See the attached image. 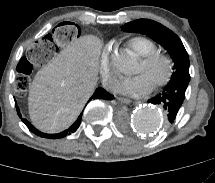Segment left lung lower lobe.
Listing matches in <instances>:
<instances>
[{
  "label": "left lung lower lobe",
  "mask_w": 215,
  "mask_h": 183,
  "mask_svg": "<svg viewBox=\"0 0 215 183\" xmlns=\"http://www.w3.org/2000/svg\"><path fill=\"white\" fill-rule=\"evenodd\" d=\"M188 83L180 80L169 81L161 93L148 100L160 105L167 113L168 121L173 123L185 98Z\"/></svg>",
  "instance_id": "1"
}]
</instances>
